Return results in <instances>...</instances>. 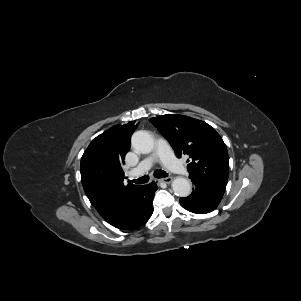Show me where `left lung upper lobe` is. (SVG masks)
<instances>
[{"label": "left lung upper lobe", "instance_id": "1", "mask_svg": "<svg viewBox=\"0 0 301 301\" xmlns=\"http://www.w3.org/2000/svg\"><path fill=\"white\" fill-rule=\"evenodd\" d=\"M169 141L177 157L188 155L191 179L226 189L228 152L220 135L209 124L184 115L166 114L150 119Z\"/></svg>", "mask_w": 301, "mask_h": 301}]
</instances>
